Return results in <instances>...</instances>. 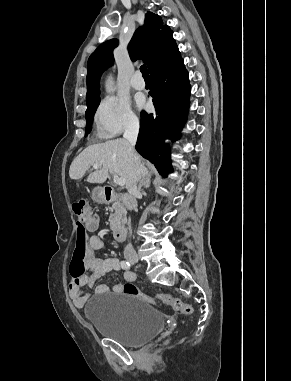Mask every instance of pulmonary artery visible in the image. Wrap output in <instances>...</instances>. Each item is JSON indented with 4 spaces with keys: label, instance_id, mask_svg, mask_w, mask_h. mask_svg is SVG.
<instances>
[{
    "label": "pulmonary artery",
    "instance_id": "pulmonary-artery-1",
    "mask_svg": "<svg viewBox=\"0 0 291 381\" xmlns=\"http://www.w3.org/2000/svg\"><path fill=\"white\" fill-rule=\"evenodd\" d=\"M131 86L136 90H143L145 88V82L140 72H136L131 79Z\"/></svg>",
    "mask_w": 291,
    "mask_h": 381
}]
</instances>
